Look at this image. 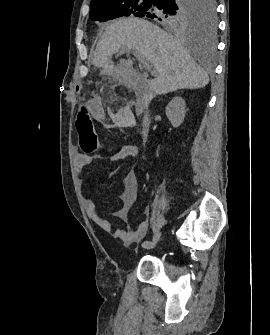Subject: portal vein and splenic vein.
I'll list each match as a JSON object with an SVG mask.
<instances>
[{
    "mask_svg": "<svg viewBox=\"0 0 270 335\" xmlns=\"http://www.w3.org/2000/svg\"><path fill=\"white\" fill-rule=\"evenodd\" d=\"M126 52H131V50H127L124 49V52H122V50H120L119 54H126ZM133 54H135V56L137 57V61L139 63H142V65L144 66V69L146 71H150L149 75L153 76L154 72L151 71L153 69V62L151 60H149L147 57H145V55L143 53H141L140 51L137 52H133Z\"/></svg>",
    "mask_w": 270,
    "mask_h": 335,
    "instance_id": "1",
    "label": "portal vein and splenic vein"
}]
</instances>
